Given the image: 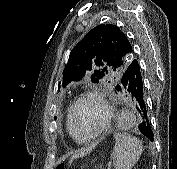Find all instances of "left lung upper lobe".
<instances>
[{"instance_id": "obj_1", "label": "left lung upper lobe", "mask_w": 177, "mask_h": 169, "mask_svg": "<svg viewBox=\"0 0 177 169\" xmlns=\"http://www.w3.org/2000/svg\"><path fill=\"white\" fill-rule=\"evenodd\" d=\"M134 58V48L119 27L96 26L72 49L63 86L88 77L94 83L106 77L118 81Z\"/></svg>"}]
</instances>
